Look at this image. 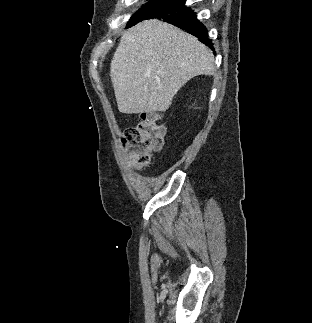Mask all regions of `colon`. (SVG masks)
Wrapping results in <instances>:
<instances>
[{"label": "colon", "instance_id": "colon-1", "mask_svg": "<svg viewBox=\"0 0 312 323\" xmlns=\"http://www.w3.org/2000/svg\"><path fill=\"white\" fill-rule=\"evenodd\" d=\"M165 133L160 124L147 117L137 126L130 127L125 132V139L130 149H133V161H127V168L146 167L151 161L152 152L163 146Z\"/></svg>", "mask_w": 312, "mask_h": 323}]
</instances>
